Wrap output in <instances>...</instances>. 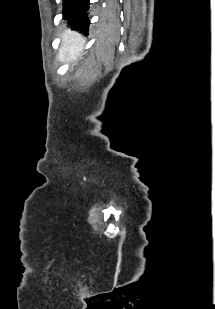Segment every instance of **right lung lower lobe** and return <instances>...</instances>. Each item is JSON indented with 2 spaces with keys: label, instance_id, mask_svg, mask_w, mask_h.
Masks as SVG:
<instances>
[{
  "label": "right lung lower lobe",
  "instance_id": "1",
  "mask_svg": "<svg viewBox=\"0 0 215 309\" xmlns=\"http://www.w3.org/2000/svg\"><path fill=\"white\" fill-rule=\"evenodd\" d=\"M63 19L68 20L70 27L88 34L89 0H63Z\"/></svg>",
  "mask_w": 215,
  "mask_h": 309
}]
</instances>
